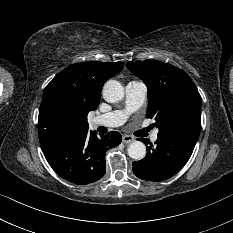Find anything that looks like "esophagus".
Here are the masks:
<instances>
[{"mask_svg":"<svg viewBox=\"0 0 233 233\" xmlns=\"http://www.w3.org/2000/svg\"><path fill=\"white\" fill-rule=\"evenodd\" d=\"M134 141V138L130 135H123L122 136V142L125 144H129Z\"/></svg>","mask_w":233,"mask_h":233,"instance_id":"obj_1","label":"esophagus"}]
</instances>
